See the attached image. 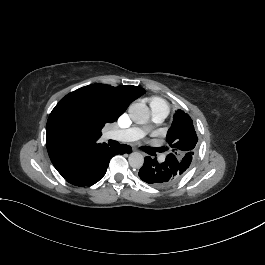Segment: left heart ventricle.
Listing matches in <instances>:
<instances>
[{
    "label": "left heart ventricle",
    "instance_id": "left-heart-ventricle-1",
    "mask_svg": "<svg viewBox=\"0 0 265 265\" xmlns=\"http://www.w3.org/2000/svg\"><path fill=\"white\" fill-rule=\"evenodd\" d=\"M154 116L150 113L149 119L144 124H140V128L143 130L144 133H153L156 129L154 126Z\"/></svg>",
    "mask_w": 265,
    "mask_h": 265
}]
</instances>
